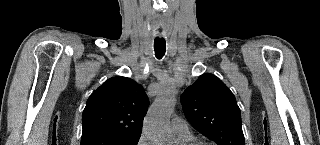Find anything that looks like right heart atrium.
I'll list each match as a JSON object with an SVG mask.
<instances>
[{
  "label": "right heart atrium",
  "mask_w": 320,
  "mask_h": 145,
  "mask_svg": "<svg viewBox=\"0 0 320 145\" xmlns=\"http://www.w3.org/2000/svg\"><path fill=\"white\" fill-rule=\"evenodd\" d=\"M137 145H151V143L147 136L142 134L137 141Z\"/></svg>",
  "instance_id": "1"
}]
</instances>
